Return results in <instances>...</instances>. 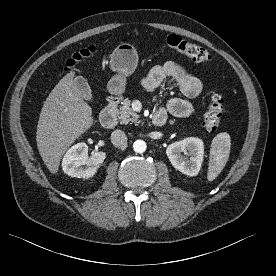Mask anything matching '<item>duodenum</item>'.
<instances>
[{
    "label": "duodenum",
    "mask_w": 276,
    "mask_h": 276,
    "mask_svg": "<svg viewBox=\"0 0 276 276\" xmlns=\"http://www.w3.org/2000/svg\"><path fill=\"white\" fill-rule=\"evenodd\" d=\"M119 103L117 97H110L108 99L107 105L103 109L100 122L106 128H112L117 123L116 108ZM151 123L155 127H162L166 123V114L163 111H158L154 114L151 119Z\"/></svg>",
    "instance_id": "duodenum-1"
}]
</instances>
